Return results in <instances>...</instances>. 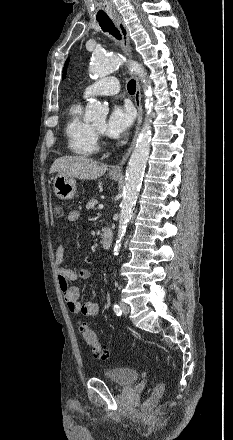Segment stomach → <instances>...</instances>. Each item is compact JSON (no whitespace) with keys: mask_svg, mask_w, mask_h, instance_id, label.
<instances>
[{"mask_svg":"<svg viewBox=\"0 0 233 440\" xmlns=\"http://www.w3.org/2000/svg\"><path fill=\"white\" fill-rule=\"evenodd\" d=\"M110 178L118 180L120 175L110 174ZM76 181L74 177L57 174L53 179V190L55 195L62 200H70L76 193Z\"/></svg>","mask_w":233,"mask_h":440,"instance_id":"obj_1","label":"stomach"}]
</instances>
